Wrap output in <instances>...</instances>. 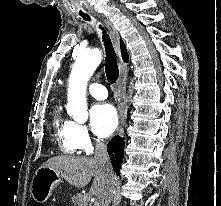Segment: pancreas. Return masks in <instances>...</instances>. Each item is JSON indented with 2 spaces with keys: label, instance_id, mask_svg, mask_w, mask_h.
Listing matches in <instances>:
<instances>
[{
  "label": "pancreas",
  "instance_id": "obj_1",
  "mask_svg": "<svg viewBox=\"0 0 221 206\" xmlns=\"http://www.w3.org/2000/svg\"><path fill=\"white\" fill-rule=\"evenodd\" d=\"M72 202L74 203V206H90L88 203L89 200L86 199V195H83L81 193L73 196Z\"/></svg>",
  "mask_w": 221,
  "mask_h": 206
}]
</instances>
